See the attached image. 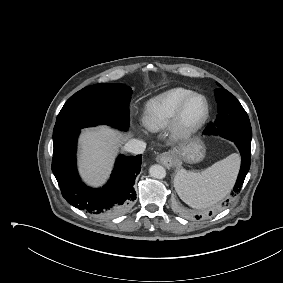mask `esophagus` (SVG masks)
Returning a JSON list of instances; mask_svg holds the SVG:
<instances>
[{"label": "esophagus", "mask_w": 283, "mask_h": 283, "mask_svg": "<svg viewBox=\"0 0 283 283\" xmlns=\"http://www.w3.org/2000/svg\"><path fill=\"white\" fill-rule=\"evenodd\" d=\"M156 161L167 168L173 166V156L169 152L159 154L156 157Z\"/></svg>", "instance_id": "obj_1"}]
</instances>
